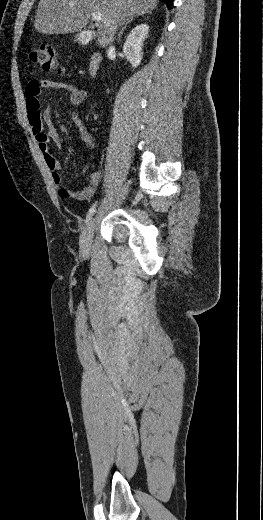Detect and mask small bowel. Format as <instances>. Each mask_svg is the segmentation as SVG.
Wrapping results in <instances>:
<instances>
[{"label": "small bowel", "mask_w": 263, "mask_h": 520, "mask_svg": "<svg viewBox=\"0 0 263 520\" xmlns=\"http://www.w3.org/2000/svg\"><path fill=\"white\" fill-rule=\"evenodd\" d=\"M44 89H61L64 90L70 102L74 105L82 104L86 97V91L76 87L68 82L55 81L51 79H33L28 82L25 89L26 108L28 113V121L35 137L36 143L47 168L51 171L53 184L59 190L62 199H76L86 201L91 199L96 193L97 187L101 180V172L95 171L89 175V183L80 191L72 192L64 185V180L59 173L61 169L60 162L49 152V142L53 141L58 147H62V141L51 123V114L48 108H41L40 96ZM72 121L77 127L81 139L87 147H94V140L89 130L76 114L72 115ZM45 128L47 129L45 131Z\"/></svg>", "instance_id": "obj_1"}]
</instances>
